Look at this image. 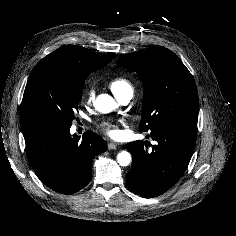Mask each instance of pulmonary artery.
Here are the masks:
<instances>
[{
	"instance_id": "1",
	"label": "pulmonary artery",
	"mask_w": 236,
	"mask_h": 236,
	"mask_svg": "<svg viewBox=\"0 0 236 236\" xmlns=\"http://www.w3.org/2000/svg\"><path fill=\"white\" fill-rule=\"evenodd\" d=\"M133 94L132 93H125L123 95H120L117 97L118 101L122 104H126L130 101L132 98Z\"/></svg>"
}]
</instances>
